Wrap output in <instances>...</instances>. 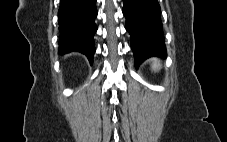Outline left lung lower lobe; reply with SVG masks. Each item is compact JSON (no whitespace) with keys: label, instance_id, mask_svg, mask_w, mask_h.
Here are the masks:
<instances>
[{"label":"left lung lower lobe","instance_id":"obj_1","mask_svg":"<svg viewBox=\"0 0 227 142\" xmlns=\"http://www.w3.org/2000/svg\"><path fill=\"white\" fill-rule=\"evenodd\" d=\"M125 28L131 36L135 66L151 56H166L161 8L157 0H123Z\"/></svg>","mask_w":227,"mask_h":142}]
</instances>
